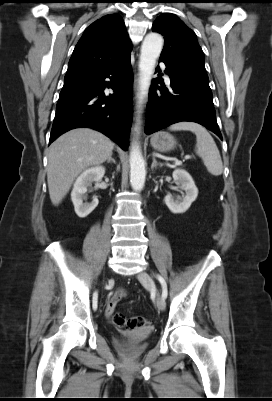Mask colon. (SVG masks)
Instances as JSON below:
<instances>
[{
  "instance_id": "obj_1",
  "label": "colon",
  "mask_w": 272,
  "mask_h": 401,
  "mask_svg": "<svg viewBox=\"0 0 272 401\" xmlns=\"http://www.w3.org/2000/svg\"><path fill=\"white\" fill-rule=\"evenodd\" d=\"M113 322L116 326L121 328L136 329L149 324V321L145 317H131L127 318L120 313H116L113 316Z\"/></svg>"
}]
</instances>
